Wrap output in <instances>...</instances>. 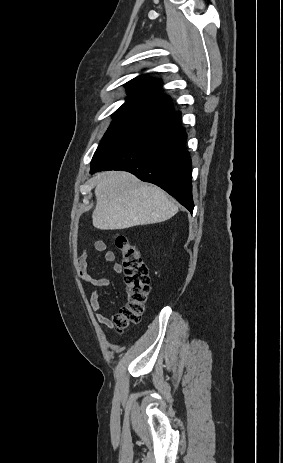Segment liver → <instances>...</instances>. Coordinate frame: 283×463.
<instances>
[{
	"label": "liver",
	"instance_id": "6515ba94",
	"mask_svg": "<svg viewBox=\"0 0 283 463\" xmlns=\"http://www.w3.org/2000/svg\"><path fill=\"white\" fill-rule=\"evenodd\" d=\"M96 207L92 213L95 228L120 230L155 224L172 218L178 207L159 187L139 181L123 171L95 175Z\"/></svg>",
	"mask_w": 283,
	"mask_h": 463
}]
</instances>
